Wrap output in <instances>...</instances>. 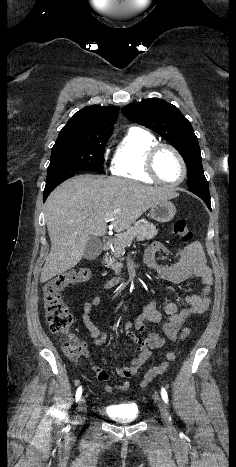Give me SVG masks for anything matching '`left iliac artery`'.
Returning a JSON list of instances; mask_svg holds the SVG:
<instances>
[{
  "mask_svg": "<svg viewBox=\"0 0 236 467\" xmlns=\"http://www.w3.org/2000/svg\"><path fill=\"white\" fill-rule=\"evenodd\" d=\"M161 396H162V399L164 400V402L168 403V395H167V392H166L165 388H163V387L161 389Z\"/></svg>",
  "mask_w": 236,
  "mask_h": 467,
  "instance_id": "left-iliac-artery-1",
  "label": "left iliac artery"
}]
</instances>
